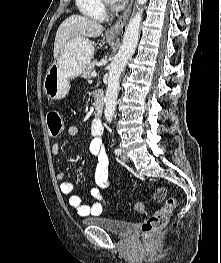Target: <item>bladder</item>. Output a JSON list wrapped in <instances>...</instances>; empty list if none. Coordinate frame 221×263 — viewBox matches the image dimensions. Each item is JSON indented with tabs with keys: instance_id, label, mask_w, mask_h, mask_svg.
I'll use <instances>...</instances> for the list:
<instances>
[{
	"instance_id": "31cf9c89",
	"label": "bladder",
	"mask_w": 221,
	"mask_h": 263,
	"mask_svg": "<svg viewBox=\"0 0 221 263\" xmlns=\"http://www.w3.org/2000/svg\"><path fill=\"white\" fill-rule=\"evenodd\" d=\"M84 222L88 225L102 227L103 229L122 237L129 235L134 228L133 222L118 218L91 217Z\"/></svg>"
}]
</instances>
